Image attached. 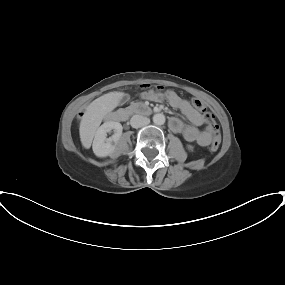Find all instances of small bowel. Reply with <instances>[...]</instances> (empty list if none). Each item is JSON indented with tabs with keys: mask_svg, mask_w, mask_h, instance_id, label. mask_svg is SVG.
<instances>
[{
	"mask_svg": "<svg viewBox=\"0 0 285 285\" xmlns=\"http://www.w3.org/2000/svg\"><path fill=\"white\" fill-rule=\"evenodd\" d=\"M143 98L156 102H160L166 98L170 105L180 110L190 122V124H186L178 118H172L169 123L170 129L175 133L181 134L189 142H196L200 146L210 144L211 136L209 130L199 129L205 121L203 116L188 101L182 99L175 92L168 91L165 94H159L153 90H149L143 94Z\"/></svg>",
	"mask_w": 285,
	"mask_h": 285,
	"instance_id": "obj_1",
	"label": "small bowel"
}]
</instances>
